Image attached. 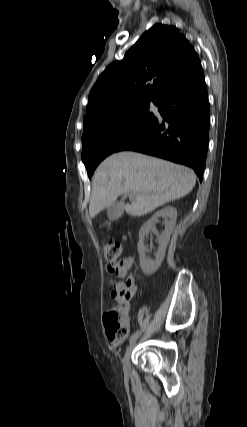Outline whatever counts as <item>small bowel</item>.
<instances>
[{
  "label": "small bowel",
  "mask_w": 247,
  "mask_h": 427,
  "mask_svg": "<svg viewBox=\"0 0 247 427\" xmlns=\"http://www.w3.org/2000/svg\"><path fill=\"white\" fill-rule=\"evenodd\" d=\"M134 264L131 256L125 257L116 263H110L107 270L114 273L117 280H111V297L118 303L124 304L131 299L137 291V283L134 275L130 272Z\"/></svg>",
  "instance_id": "obj_1"
}]
</instances>
